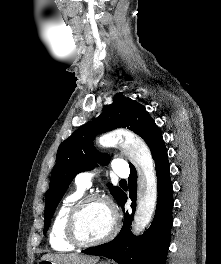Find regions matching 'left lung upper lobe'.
I'll return each instance as SVG.
<instances>
[{"instance_id":"obj_1","label":"left lung upper lobe","mask_w":221,"mask_h":264,"mask_svg":"<svg viewBox=\"0 0 221 264\" xmlns=\"http://www.w3.org/2000/svg\"><path fill=\"white\" fill-rule=\"evenodd\" d=\"M127 128L138 134L148 144L152 155L163 141L154 120L140 103L128 97H117L93 121L78 128L58 148L56 164L52 170L50 187L45 195V227L47 232L55 209L74 177L96 166L95 160L107 164L109 155L100 154L93 146L94 138L116 128ZM130 170H135L130 163ZM113 197L120 202L124 192L108 184Z\"/></svg>"}]
</instances>
